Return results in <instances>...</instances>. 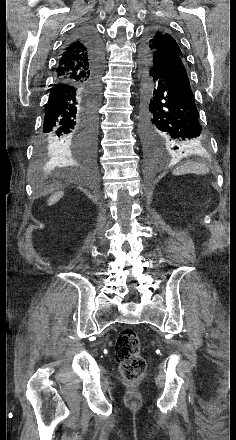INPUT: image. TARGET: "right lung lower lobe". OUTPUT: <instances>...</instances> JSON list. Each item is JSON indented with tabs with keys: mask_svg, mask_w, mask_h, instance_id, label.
<instances>
[{
	"mask_svg": "<svg viewBox=\"0 0 236 440\" xmlns=\"http://www.w3.org/2000/svg\"><path fill=\"white\" fill-rule=\"evenodd\" d=\"M79 40L87 49L91 63L88 83L58 82L50 89L43 124V142L47 150L64 147L72 142L76 157L88 165L94 164L97 148V107L99 99H93L89 88L99 93L104 69V45L100 36L90 27L81 28L70 40ZM69 159V158H68Z\"/></svg>",
	"mask_w": 236,
	"mask_h": 440,
	"instance_id": "right-lung-lower-lobe-1",
	"label": "right lung lower lobe"
}]
</instances>
